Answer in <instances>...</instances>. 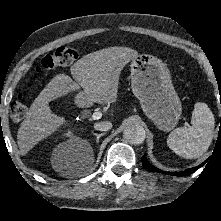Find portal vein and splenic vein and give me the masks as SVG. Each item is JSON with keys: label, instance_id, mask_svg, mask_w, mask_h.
I'll list each match as a JSON object with an SVG mask.
<instances>
[{"label": "portal vein and splenic vein", "instance_id": "portal-vein-and-splenic-vein-1", "mask_svg": "<svg viewBox=\"0 0 221 221\" xmlns=\"http://www.w3.org/2000/svg\"><path fill=\"white\" fill-rule=\"evenodd\" d=\"M102 117V113L101 112H94L92 114V119L93 120H99Z\"/></svg>", "mask_w": 221, "mask_h": 221}]
</instances>
